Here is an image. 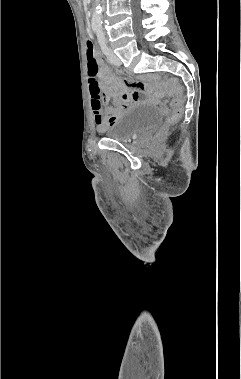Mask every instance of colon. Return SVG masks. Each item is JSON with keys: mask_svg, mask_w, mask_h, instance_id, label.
Instances as JSON below:
<instances>
[{"mask_svg": "<svg viewBox=\"0 0 241 379\" xmlns=\"http://www.w3.org/2000/svg\"><path fill=\"white\" fill-rule=\"evenodd\" d=\"M86 57H87V68H88V89H99L98 83L96 82V78L99 71V65L98 60L95 55V49L91 42H87L86 46ZM172 110L169 112L166 124L163 128L165 130L169 125L173 124L178 120V118L182 114V107H183V100L181 98L175 99L170 104ZM159 110H166L167 104L166 103H159L158 104Z\"/></svg>", "mask_w": 241, "mask_h": 379, "instance_id": "5ec220e1", "label": "colon"}]
</instances>
